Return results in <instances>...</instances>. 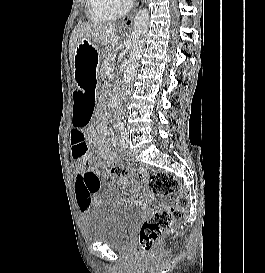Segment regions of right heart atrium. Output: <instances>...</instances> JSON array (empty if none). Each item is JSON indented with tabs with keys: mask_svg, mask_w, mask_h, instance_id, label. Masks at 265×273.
I'll return each mask as SVG.
<instances>
[{
	"mask_svg": "<svg viewBox=\"0 0 265 273\" xmlns=\"http://www.w3.org/2000/svg\"><path fill=\"white\" fill-rule=\"evenodd\" d=\"M131 2L132 0H107L108 5L118 13L125 11Z\"/></svg>",
	"mask_w": 265,
	"mask_h": 273,
	"instance_id": "1",
	"label": "right heart atrium"
}]
</instances>
